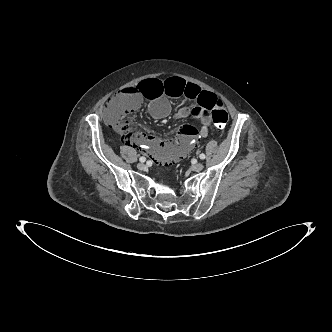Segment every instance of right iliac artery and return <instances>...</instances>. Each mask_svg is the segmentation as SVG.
Here are the masks:
<instances>
[{
  "instance_id": "82829eb1",
  "label": "right iliac artery",
  "mask_w": 332,
  "mask_h": 332,
  "mask_svg": "<svg viewBox=\"0 0 332 332\" xmlns=\"http://www.w3.org/2000/svg\"><path fill=\"white\" fill-rule=\"evenodd\" d=\"M140 162L144 163L146 161V158L144 156L140 157Z\"/></svg>"
}]
</instances>
